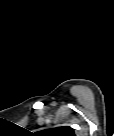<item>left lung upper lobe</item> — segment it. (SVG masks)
<instances>
[{
    "mask_svg": "<svg viewBox=\"0 0 114 136\" xmlns=\"http://www.w3.org/2000/svg\"><path fill=\"white\" fill-rule=\"evenodd\" d=\"M44 135L45 136H75L74 130L68 126L45 130Z\"/></svg>",
    "mask_w": 114,
    "mask_h": 136,
    "instance_id": "1",
    "label": "left lung upper lobe"
}]
</instances>
